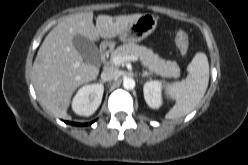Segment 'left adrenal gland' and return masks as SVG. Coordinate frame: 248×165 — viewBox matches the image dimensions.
<instances>
[{
  "mask_svg": "<svg viewBox=\"0 0 248 165\" xmlns=\"http://www.w3.org/2000/svg\"><path fill=\"white\" fill-rule=\"evenodd\" d=\"M149 75H152V73L151 72H147V71H144L142 73V77L149 76Z\"/></svg>",
  "mask_w": 248,
  "mask_h": 165,
  "instance_id": "obj_1",
  "label": "left adrenal gland"
}]
</instances>
